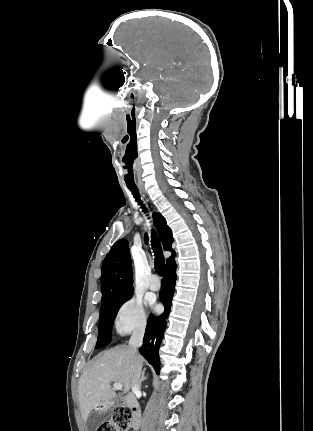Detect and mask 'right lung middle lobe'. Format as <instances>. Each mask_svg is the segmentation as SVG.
<instances>
[{"label":"right lung middle lobe","instance_id":"obj_1","mask_svg":"<svg viewBox=\"0 0 313 431\" xmlns=\"http://www.w3.org/2000/svg\"><path fill=\"white\" fill-rule=\"evenodd\" d=\"M132 295L133 293L121 298L102 302L99 318V334L95 348H101L110 343L113 321L117 315V312L122 304L128 301Z\"/></svg>","mask_w":313,"mask_h":431}]
</instances>
